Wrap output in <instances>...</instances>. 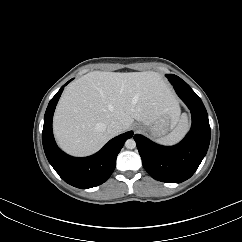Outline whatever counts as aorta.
<instances>
[{"label": "aorta", "instance_id": "762f6f07", "mask_svg": "<svg viewBox=\"0 0 242 242\" xmlns=\"http://www.w3.org/2000/svg\"><path fill=\"white\" fill-rule=\"evenodd\" d=\"M125 147H126L127 149H134V148L136 147V142H135V140L132 139V138L126 140V142H125Z\"/></svg>", "mask_w": 242, "mask_h": 242}]
</instances>
